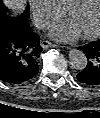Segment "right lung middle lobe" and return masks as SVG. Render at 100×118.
<instances>
[{
	"label": "right lung middle lobe",
	"mask_w": 100,
	"mask_h": 118,
	"mask_svg": "<svg viewBox=\"0 0 100 118\" xmlns=\"http://www.w3.org/2000/svg\"><path fill=\"white\" fill-rule=\"evenodd\" d=\"M2 17L0 20V26L5 25L6 22L10 21L11 19H21V22H27V19L29 17V8L26 9V11L24 12V14H22L21 16L18 17H13V16H9L5 13V10H2Z\"/></svg>",
	"instance_id": "right-lung-middle-lobe-1"
}]
</instances>
